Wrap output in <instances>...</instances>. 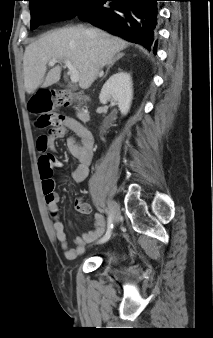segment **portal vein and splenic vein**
Masks as SVG:
<instances>
[{
	"instance_id": "obj_1",
	"label": "portal vein and splenic vein",
	"mask_w": 213,
	"mask_h": 338,
	"mask_svg": "<svg viewBox=\"0 0 213 338\" xmlns=\"http://www.w3.org/2000/svg\"><path fill=\"white\" fill-rule=\"evenodd\" d=\"M56 60L49 61V66H54L56 64ZM65 65L69 69L70 79L72 83H77L79 81V72L77 69L72 65L69 60H65Z\"/></svg>"
}]
</instances>
